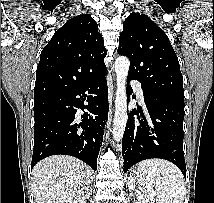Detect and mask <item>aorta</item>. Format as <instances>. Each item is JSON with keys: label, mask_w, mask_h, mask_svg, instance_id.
<instances>
[{"label": "aorta", "mask_w": 214, "mask_h": 203, "mask_svg": "<svg viewBox=\"0 0 214 203\" xmlns=\"http://www.w3.org/2000/svg\"><path fill=\"white\" fill-rule=\"evenodd\" d=\"M130 62L125 56H120L115 61V72L117 78V91L115 100V115L113 123V138L115 141L122 140L127 115V96H126V79L129 71Z\"/></svg>", "instance_id": "aorta-1"}]
</instances>
